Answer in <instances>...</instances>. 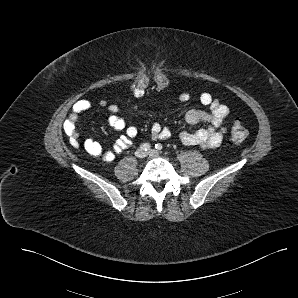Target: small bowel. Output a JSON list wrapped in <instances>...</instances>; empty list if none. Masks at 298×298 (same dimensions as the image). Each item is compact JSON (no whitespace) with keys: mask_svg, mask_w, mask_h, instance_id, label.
I'll return each instance as SVG.
<instances>
[{"mask_svg":"<svg viewBox=\"0 0 298 298\" xmlns=\"http://www.w3.org/2000/svg\"><path fill=\"white\" fill-rule=\"evenodd\" d=\"M179 100L186 103L190 100V95L183 92L179 95ZM199 100L204 106L209 107V111L191 109L185 114V120L189 124L204 123L205 127L194 132L182 131L179 134V139L185 145L197 146L203 149L219 147L227 132L226 120L230 114V109L207 92L202 93ZM101 104L106 106L107 102L102 101ZM91 106V102L87 99L78 100L72 106L68 118L77 121L79 115L88 111ZM138 108V105L133 106L134 110H138ZM108 110L110 112L108 117L109 125L115 130H124L125 133L115 141L110 150H104L102 145L92 138L86 139L83 146L88 154L112 162L118 154L131 146L132 139L137 135L138 130L135 126L126 125L125 120L118 115L119 108L116 105H108ZM150 135L153 139L166 140L170 138L171 132L167 127L155 122L151 126Z\"/></svg>","mask_w":298,"mask_h":298,"instance_id":"obj_1","label":"small bowel"}]
</instances>
